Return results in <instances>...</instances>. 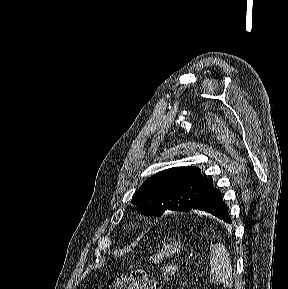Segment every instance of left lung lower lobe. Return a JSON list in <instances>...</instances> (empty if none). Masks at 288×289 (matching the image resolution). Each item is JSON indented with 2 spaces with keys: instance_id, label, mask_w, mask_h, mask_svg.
Wrapping results in <instances>:
<instances>
[{
  "instance_id": "0a47b994",
  "label": "left lung lower lobe",
  "mask_w": 288,
  "mask_h": 289,
  "mask_svg": "<svg viewBox=\"0 0 288 289\" xmlns=\"http://www.w3.org/2000/svg\"><path fill=\"white\" fill-rule=\"evenodd\" d=\"M192 209L211 213L227 223H232L228 207L222 199L221 192L214 186L199 199Z\"/></svg>"
}]
</instances>
